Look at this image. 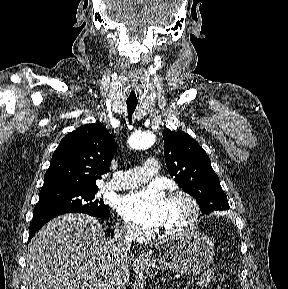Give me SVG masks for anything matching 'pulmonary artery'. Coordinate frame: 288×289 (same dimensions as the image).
I'll return each mask as SVG.
<instances>
[{
	"mask_svg": "<svg viewBox=\"0 0 288 289\" xmlns=\"http://www.w3.org/2000/svg\"><path fill=\"white\" fill-rule=\"evenodd\" d=\"M158 161L156 158H147L142 166L115 172L105 187L109 190H122L139 186L158 174Z\"/></svg>",
	"mask_w": 288,
	"mask_h": 289,
	"instance_id": "1",
	"label": "pulmonary artery"
}]
</instances>
